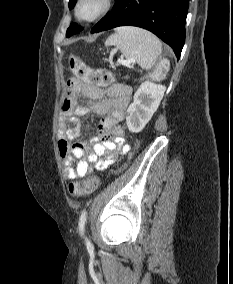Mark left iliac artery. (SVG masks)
I'll return each mask as SVG.
<instances>
[{"label": "left iliac artery", "instance_id": "obj_1", "mask_svg": "<svg viewBox=\"0 0 233 284\" xmlns=\"http://www.w3.org/2000/svg\"><path fill=\"white\" fill-rule=\"evenodd\" d=\"M85 223H86V210H83L79 219V232L81 235H84ZM87 244H90L88 240Z\"/></svg>", "mask_w": 233, "mask_h": 284}]
</instances>
